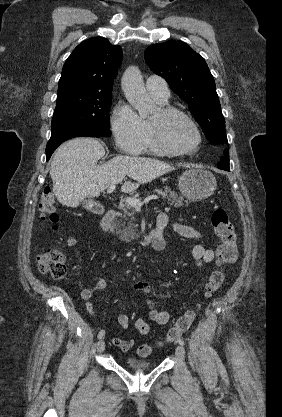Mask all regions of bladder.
Here are the masks:
<instances>
[{
	"label": "bladder",
	"mask_w": 282,
	"mask_h": 417,
	"mask_svg": "<svg viewBox=\"0 0 282 417\" xmlns=\"http://www.w3.org/2000/svg\"><path fill=\"white\" fill-rule=\"evenodd\" d=\"M126 365L133 370L141 371L151 367V363L146 360H142L135 357H129L126 359Z\"/></svg>",
	"instance_id": "obj_1"
}]
</instances>
